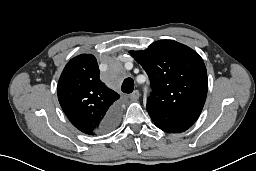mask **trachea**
I'll use <instances>...</instances> for the list:
<instances>
[{"mask_svg":"<svg viewBox=\"0 0 256 171\" xmlns=\"http://www.w3.org/2000/svg\"><path fill=\"white\" fill-rule=\"evenodd\" d=\"M122 92L131 93L134 89V81L132 78H126L121 86Z\"/></svg>","mask_w":256,"mask_h":171,"instance_id":"trachea-1","label":"trachea"}]
</instances>
